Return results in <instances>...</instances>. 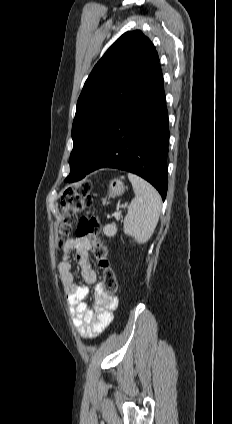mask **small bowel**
Returning a JSON list of instances; mask_svg holds the SVG:
<instances>
[{
    "label": "small bowel",
    "instance_id": "c3829d8e",
    "mask_svg": "<svg viewBox=\"0 0 232 424\" xmlns=\"http://www.w3.org/2000/svg\"><path fill=\"white\" fill-rule=\"evenodd\" d=\"M90 243L87 238L69 239L63 245V257L57 265L59 279L63 286L68 309L73 316V325L78 334L85 339L98 336L105 330L113 318V311L117 300L108 296L102 283H97L95 270L90 266L88 249ZM81 269V278L87 284L97 283L92 301L89 306L87 297L89 288L77 281V275L72 270L71 256Z\"/></svg>",
    "mask_w": 232,
    "mask_h": 424
}]
</instances>
